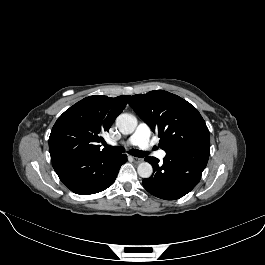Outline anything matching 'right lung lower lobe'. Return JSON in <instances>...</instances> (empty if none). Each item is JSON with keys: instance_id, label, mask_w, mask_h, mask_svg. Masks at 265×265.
Here are the masks:
<instances>
[{"instance_id": "right-lung-lower-lobe-1", "label": "right lung lower lobe", "mask_w": 265, "mask_h": 265, "mask_svg": "<svg viewBox=\"0 0 265 265\" xmlns=\"http://www.w3.org/2000/svg\"><path fill=\"white\" fill-rule=\"evenodd\" d=\"M126 161L125 154L107 153L56 161L52 165L60 180L71 191L89 195L108 188Z\"/></svg>"}]
</instances>
